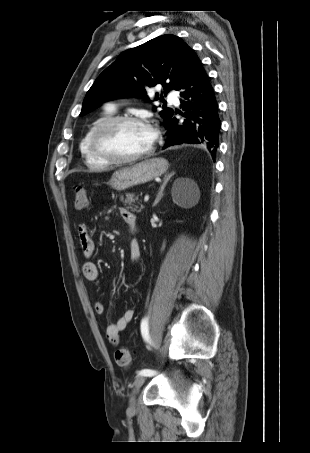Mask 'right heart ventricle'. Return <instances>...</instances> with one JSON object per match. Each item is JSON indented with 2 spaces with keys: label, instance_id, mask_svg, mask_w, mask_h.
<instances>
[{
  "label": "right heart ventricle",
  "instance_id": "1",
  "mask_svg": "<svg viewBox=\"0 0 310 453\" xmlns=\"http://www.w3.org/2000/svg\"><path fill=\"white\" fill-rule=\"evenodd\" d=\"M113 114V109L105 108L104 111L89 125L85 134L83 135L79 149L85 160L86 165L92 169L106 168L110 164L102 161L94 155L90 146V139L95 128L104 120L110 118Z\"/></svg>",
  "mask_w": 310,
  "mask_h": 453
}]
</instances>
